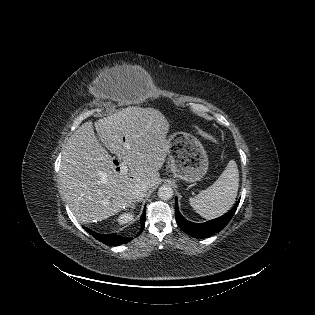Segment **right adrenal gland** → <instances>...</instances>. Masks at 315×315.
<instances>
[{"label":"right adrenal gland","mask_w":315,"mask_h":315,"mask_svg":"<svg viewBox=\"0 0 315 315\" xmlns=\"http://www.w3.org/2000/svg\"><path fill=\"white\" fill-rule=\"evenodd\" d=\"M139 202V200H134L131 201L127 206L131 208V210H133L135 208V204Z\"/></svg>","instance_id":"1"}]
</instances>
